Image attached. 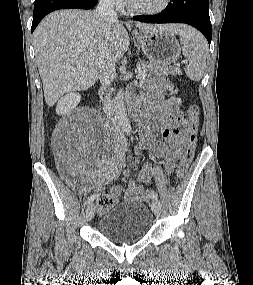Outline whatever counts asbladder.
<instances>
[{"label": "bladder", "mask_w": 253, "mask_h": 285, "mask_svg": "<svg viewBox=\"0 0 253 285\" xmlns=\"http://www.w3.org/2000/svg\"><path fill=\"white\" fill-rule=\"evenodd\" d=\"M153 225L150 209L139 201H124L103 211L100 233L116 243H132L143 239Z\"/></svg>", "instance_id": "obj_1"}]
</instances>
